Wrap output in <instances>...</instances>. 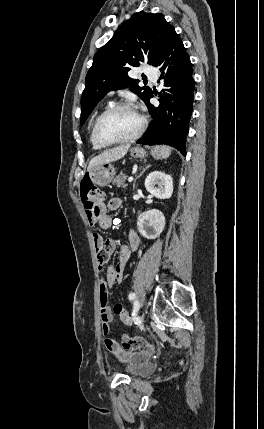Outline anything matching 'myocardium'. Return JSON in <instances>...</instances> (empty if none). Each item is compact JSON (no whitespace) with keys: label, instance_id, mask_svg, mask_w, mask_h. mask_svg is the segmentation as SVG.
<instances>
[{"label":"myocardium","instance_id":"obj_1","mask_svg":"<svg viewBox=\"0 0 264 429\" xmlns=\"http://www.w3.org/2000/svg\"><path fill=\"white\" fill-rule=\"evenodd\" d=\"M120 109H132L134 111H136V113L139 116L140 119V123L139 126L137 128V130L129 137L123 138V139H119V140H114V141H106L104 140L101 136H100V125L102 123V121L111 113L120 110ZM146 126V118L145 116L139 111V109L137 108V106L131 102L128 101H122V102H116L112 105H110L109 107H107L96 119L95 123H94V128H93V135L94 138L96 140V142L104 147L106 146H112V145H117V144H123V143H128V142H132L134 140H136L137 138H139L141 136V134L143 133L144 129Z\"/></svg>","mask_w":264,"mask_h":429}]
</instances>
